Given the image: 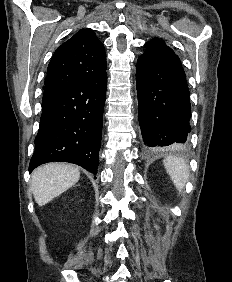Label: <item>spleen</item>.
<instances>
[{"instance_id":"obj_1","label":"spleen","mask_w":232,"mask_h":282,"mask_svg":"<svg viewBox=\"0 0 232 282\" xmlns=\"http://www.w3.org/2000/svg\"><path fill=\"white\" fill-rule=\"evenodd\" d=\"M164 166L178 190H182L189 177V167L187 163L179 157L168 156L164 161Z\"/></svg>"}]
</instances>
